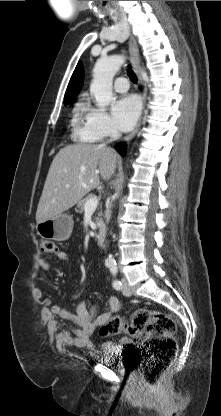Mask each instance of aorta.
Wrapping results in <instances>:
<instances>
[{
	"label": "aorta",
	"mask_w": 221,
	"mask_h": 416,
	"mask_svg": "<svg viewBox=\"0 0 221 416\" xmlns=\"http://www.w3.org/2000/svg\"><path fill=\"white\" fill-rule=\"evenodd\" d=\"M123 62L124 58L120 55L101 58L96 62L90 92L94 95L98 107L104 108L113 100V78ZM105 263L114 266L116 261L112 255H109Z\"/></svg>",
	"instance_id": "aorta-1"
}]
</instances>
